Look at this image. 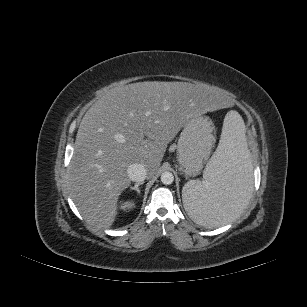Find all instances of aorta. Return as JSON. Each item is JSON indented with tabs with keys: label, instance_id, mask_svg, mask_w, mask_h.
I'll list each match as a JSON object with an SVG mask.
<instances>
[{
	"label": "aorta",
	"instance_id": "obj_1",
	"mask_svg": "<svg viewBox=\"0 0 307 307\" xmlns=\"http://www.w3.org/2000/svg\"><path fill=\"white\" fill-rule=\"evenodd\" d=\"M174 181V175L169 172V171H165L161 174V182L165 185H170L172 184Z\"/></svg>",
	"mask_w": 307,
	"mask_h": 307
}]
</instances>
